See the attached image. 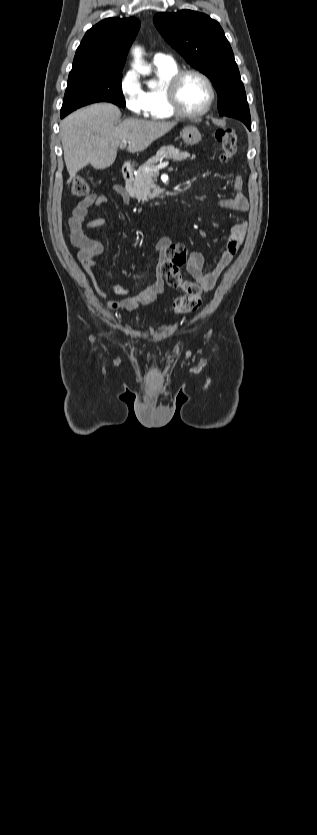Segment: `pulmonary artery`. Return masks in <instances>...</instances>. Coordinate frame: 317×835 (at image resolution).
<instances>
[{
    "instance_id": "1",
    "label": "pulmonary artery",
    "mask_w": 317,
    "mask_h": 835,
    "mask_svg": "<svg viewBox=\"0 0 317 835\" xmlns=\"http://www.w3.org/2000/svg\"><path fill=\"white\" fill-rule=\"evenodd\" d=\"M169 61H173V60H172V58H171L169 55H167V54H163V53H156V54L154 55V57H153V63H154V64L163 63V62H169Z\"/></svg>"
}]
</instances>
